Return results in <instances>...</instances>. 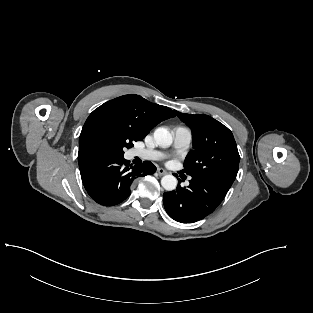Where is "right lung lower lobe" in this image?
Returning <instances> with one entry per match:
<instances>
[{
    "instance_id": "right-lung-lower-lobe-1",
    "label": "right lung lower lobe",
    "mask_w": 313,
    "mask_h": 313,
    "mask_svg": "<svg viewBox=\"0 0 313 313\" xmlns=\"http://www.w3.org/2000/svg\"><path fill=\"white\" fill-rule=\"evenodd\" d=\"M78 163L87 193L95 202L104 206L124 201L131 194V186L138 177L156 171L150 161L132 166L121 156L96 155Z\"/></svg>"
}]
</instances>
